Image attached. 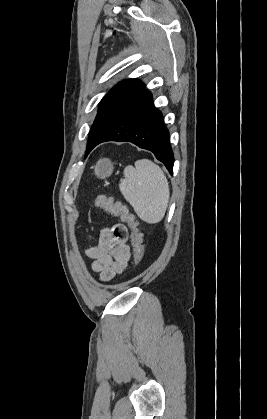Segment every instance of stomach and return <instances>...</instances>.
<instances>
[{
    "label": "stomach",
    "mask_w": 267,
    "mask_h": 419,
    "mask_svg": "<svg viewBox=\"0 0 267 419\" xmlns=\"http://www.w3.org/2000/svg\"><path fill=\"white\" fill-rule=\"evenodd\" d=\"M95 175L98 178H106L111 175L113 171V164L108 158H102L97 161L93 167Z\"/></svg>",
    "instance_id": "0dacf381"
}]
</instances>
